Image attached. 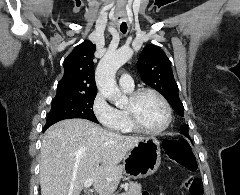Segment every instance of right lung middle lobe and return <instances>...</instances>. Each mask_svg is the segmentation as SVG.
<instances>
[{"label":"right lung middle lobe","mask_w":240,"mask_h":195,"mask_svg":"<svg viewBox=\"0 0 240 195\" xmlns=\"http://www.w3.org/2000/svg\"><path fill=\"white\" fill-rule=\"evenodd\" d=\"M95 97L96 95L56 96L44 131L54 123L70 118H83L98 123L92 109Z\"/></svg>","instance_id":"obj_1"}]
</instances>
